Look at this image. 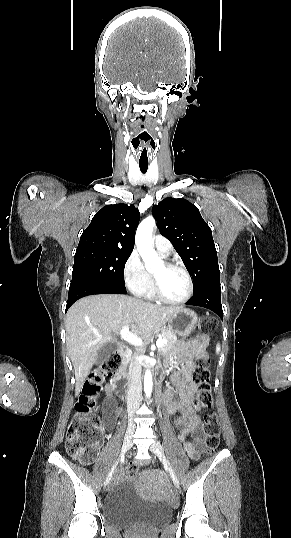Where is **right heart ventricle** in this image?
Wrapping results in <instances>:
<instances>
[{
    "label": "right heart ventricle",
    "mask_w": 291,
    "mask_h": 538,
    "mask_svg": "<svg viewBox=\"0 0 291 538\" xmlns=\"http://www.w3.org/2000/svg\"><path fill=\"white\" fill-rule=\"evenodd\" d=\"M144 296L147 297V298H149V299L155 297V295H154V293H153V290H152V283H151V285L149 286V288H148V290H147V292L145 293Z\"/></svg>",
    "instance_id": "right-heart-ventricle-1"
}]
</instances>
